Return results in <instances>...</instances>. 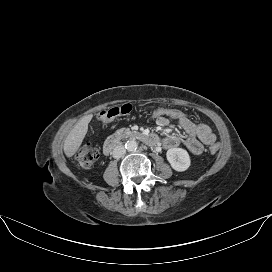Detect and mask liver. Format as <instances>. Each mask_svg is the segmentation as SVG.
<instances>
[{
  "label": "liver",
  "mask_w": 272,
  "mask_h": 272,
  "mask_svg": "<svg viewBox=\"0 0 272 272\" xmlns=\"http://www.w3.org/2000/svg\"><path fill=\"white\" fill-rule=\"evenodd\" d=\"M91 119L92 115L81 118L66 137L64 141V153L67 157H72L79 149L88 131V124Z\"/></svg>",
  "instance_id": "1"
}]
</instances>
